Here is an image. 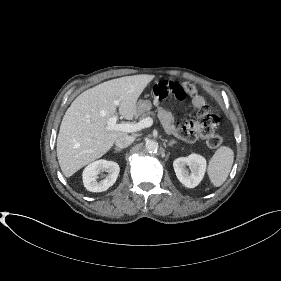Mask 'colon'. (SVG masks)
<instances>
[{
	"mask_svg": "<svg viewBox=\"0 0 281 281\" xmlns=\"http://www.w3.org/2000/svg\"><path fill=\"white\" fill-rule=\"evenodd\" d=\"M195 91L196 88L192 82L161 81L152 88L153 96L157 99L169 98L179 101L184 100L187 95L194 94ZM199 120L201 127L199 137L205 138L206 144L210 148H218L222 144L221 136L216 133L219 118L202 108L199 112Z\"/></svg>",
	"mask_w": 281,
	"mask_h": 281,
	"instance_id": "colon-1",
	"label": "colon"
}]
</instances>
